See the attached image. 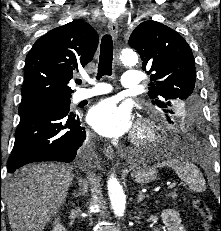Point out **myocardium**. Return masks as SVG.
Here are the masks:
<instances>
[{
  "instance_id": "myocardium-1",
  "label": "myocardium",
  "mask_w": 221,
  "mask_h": 231,
  "mask_svg": "<svg viewBox=\"0 0 221 231\" xmlns=\"http://www.w3.org/2000/svg\"><path fill=\"white\" fill-rule=\"evenodd\" d=\"M158 136L156 123L151 119H142L131 135V142L137 146L148 145L157 141Z\"/></svg>"
}]
</instances>
